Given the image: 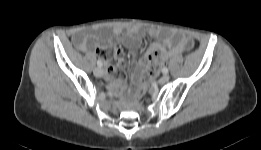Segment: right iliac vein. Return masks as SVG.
<instances>
[{
  "label": "right iliac vein",
  "instance_id": "63e3f726",
  "mask_svg": "<svg viewBox=\"0 0 261 150\" xmlns=\"http://www.w3.org/2000/svg\"><path fill=\"white\" fill-rule=\"evenodd\" d=\"M94 75L97 77H102L104 75V72L101 68L97 67L94 69Z\"/></svg>",
  "mask_w": 261,
  "mask_h": 150
}]
</instances>
